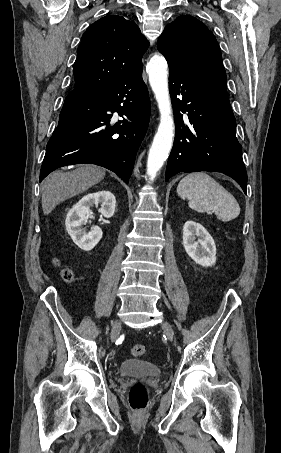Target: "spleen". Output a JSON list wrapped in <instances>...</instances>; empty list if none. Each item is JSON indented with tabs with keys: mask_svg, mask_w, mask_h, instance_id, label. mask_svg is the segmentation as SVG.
Returning <instances> with one entry per match:
<instances>
[{
	"mask_svg": "<svg viewBox=\"0 0 281 453\" xmlns=\"http://www.w3.org/2000/svg\"><path fill=\"white\" fill-rule=\"evenodd\" d=\"M177 192L187 198L190 208L197 212H215L220 220H232L240 212V206L219 182L206 172H191L180 180Z\"/></svg>",
	"mask_w": 281,
	"mask_h": 453,
	"instance_id": "3e777b00",
	"label": "spleen"
}]
</instances>
